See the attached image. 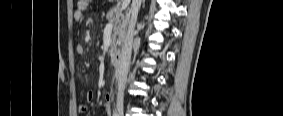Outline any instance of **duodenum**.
I'll use <instances>...</instances> for the list:
<instances>
[{"instance_id": "1", "label": "duodenum", "mask_w": 283, "mask_h": 116, "mask_svg": "<svg viewBox=\"0 0 283 116\" xmlns=\"http://www.w3.org/2000/svg\"><path fill=\"white\" fill-rule=\"evenodd\" d=\"M111 61L112 64L115 66V68H118L120 66V62H121V53L118 50H115L112 52L111 55ZM118 81V76H117V72L114 75V79H113V86H115L117 84Z\"/></svg>"}]
</instances>
